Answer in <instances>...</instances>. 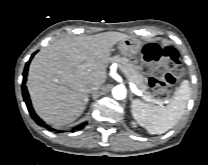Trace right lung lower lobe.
<instances>
[{
    "instance_id": "1",
    "label": "right lung lower lobe",
    "mask_w": 208,
    "mask_h": 165,
    "mask_svg": "<svg viewBox=\"0 0 208 165\" xmlns=\"http://www.w3.org/2000/svg\"><path fill=\"white\" fill-rule=\"evenodd\" d=\"M35 54V53H34ZM34 54L31 56V59L33 58ZM31 59L26 63V66H25V69H24V72H23V85H22V93H23V98H24V101L26 103V106L28 108V111L30 112V115L32 116V118L34 119V121L40 125V126H43V127H46L48 128L49 130H54L53 128L49 127L48 125H46L35 113H34V110L32 108V105H31V101L29 99V94H28V91L26 89V86H25V82H26V79H27V72H28V67H29V63L31 61ZM87 124V122L85 123H82L80 124L79 126L75 127L74 130H78V129H82L85 125Z\"/></svg>"
}]
</instances>
